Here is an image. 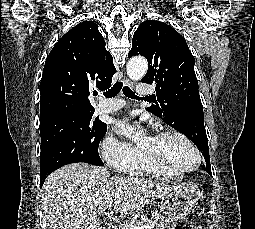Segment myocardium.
Masks as SVG:
<instances>
[{"mask_svg": "<svg viewBox=\"0 0 255 229\" xmlns=\"http://www.w3.org/2000/svg\"><path fill=\"white\" fill-rule=\"evenodd\" d=\"M157 136H177L181 138L182 140H184L193 149L196 155V162L193 165L186 168H171V167L165 166L160 161L154 159L150 154H148L144 149L140 147L139 148L140 152L142 153L144 158L157 169L162 170L170 174L171 176H181L196 170L201 165V162H202L201 151L199 150L197 145L194 143V141L185 133L172 129V130L161 131L160 133H158Z\"/></svg>", "mask_w": 255, "mask_h": 229, "instance_id": "1", "label": "myocardium"}]
</instances>
